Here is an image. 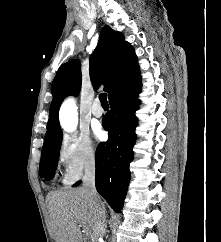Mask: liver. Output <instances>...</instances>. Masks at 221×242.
Here are the masks:
<instances>
[{"label":"liver","mask_w":221,"mask_h":242,"mask_svg":"<svg viewBox=\"0 0 221 242\" xmlns=\"http://www.w3.org/2000/svg\"><path fill=\"white\" fill-rule=\"evenodd\" d=\"M47 203L56 242H82L80 227L94 235L96 211L82 188L51 192Z\"/></svg>","instance_id":"obj_1"}]
</instances>
